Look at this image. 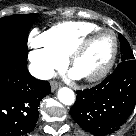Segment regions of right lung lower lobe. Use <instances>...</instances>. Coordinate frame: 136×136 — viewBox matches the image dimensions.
Wrapping results in <instances>:
<instances>
[{"label":"right lung lower lobe","instance_id":"right-lung-lower-lobe-1","mask_svg":"<svg viewBox=\"0 0 136 136\" xmlns=\"http://www.w3.org/2000/svg\"><path fill=\"white\" fill-rule=\"evenodd\" d=\"M51 92L47 81L27 70L26 58L0 56V136H27L38 120V106Z\"/></svg>","mask_w":136,"mask_h":136}]
</instances>
